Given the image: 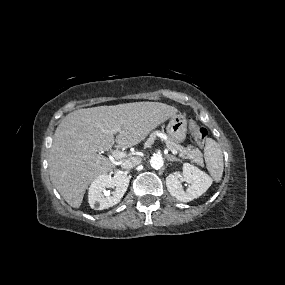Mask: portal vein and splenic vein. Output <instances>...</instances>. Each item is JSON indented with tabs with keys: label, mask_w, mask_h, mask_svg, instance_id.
Here are the masks:
<instances>
[{
	"label": "portal vein and splenic vein",
	"mask_w": 285,
	"mask_h": 285,
	"mask_svg": "<svg viewBox=\"0 0 285 285\" xmlns=\"http://www.w3.org/2000/svg\"><path fill=\"white\" fill-rule=\"evenodd\" d=\"M119 131V128H113V129H111V133L112 134H115V133H117ZM171 152L174 154V155H177L178 154V152H177V150H171ZM112 157L113 158H115V159H122V158H124V157H126V153L125 152H123V151H120V150H114V151H112Z\"/></svg>",
	"instance_id": "obj_1"
}]
</instances>
